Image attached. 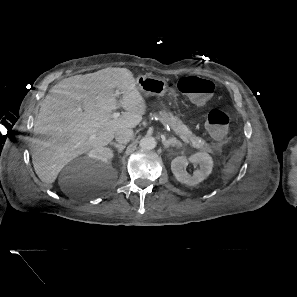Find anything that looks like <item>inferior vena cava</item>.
<instances>
[{"label": "inferior vena cava", "mask_w": 297, "mask_h": 297, "mask_svg": "<svg viewBox=\"0 0 297 297\" xmlns=\"http://www.w3.org/2000/svg\"><path fill=\"white\" fill-rule=\"evenodd\" d=\"M134 138V132L132 129H123L115 134V139L120 144H126Z\"/></svg>", "instance_id": "1"}]
</instances>
